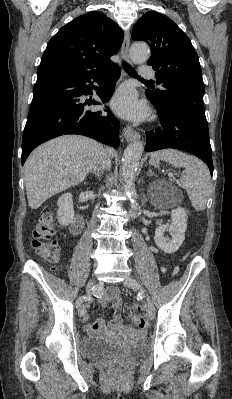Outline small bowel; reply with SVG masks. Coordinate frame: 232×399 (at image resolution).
<instances>
[{
	"label": "small bowel",
	"mask_w": 232,
	"mask_h": 399,
	"mask_svg": "<svg viewBox=\"0 0 232 399\" xmlns=\"http://www.w3.org/2000/svg\"><path fill=\"white\" fill-rule=\"evenodd\" d=\"M115 300L114 303V319L111 322H104L99 319L96 323L84 322L80 324V328L88 333L89 340L94 341L98 338L110 337L114 332H129L130 327L121 321V302L120 292L117 289L109 288L105 297L102 299V304L106 305L109 301ZM79 311L85 318L88 317L85 306H80Z\"/></svg>",
	"instance_id": "c3829d8e"
}]
</instances>
